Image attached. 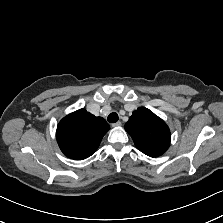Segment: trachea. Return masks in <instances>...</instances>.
<instances>
[{
  "instance_id": "trachea-1",
  "label": "trachea",
  "mask_w": 223,
  "mask_h": 223,
  "mask_svg": "<svg viewBox=\"0 0 223 223\" xmlns=\"http://www.w3.org/2000/svg\"><path fill=\"white\" fill-rule=\"evenodd\" d=\"M118 119H119V117H118V114L116 112H112L107 117V120H108L109 123H115V122L118 121Z\"/></svg>"
}]
</instances>
